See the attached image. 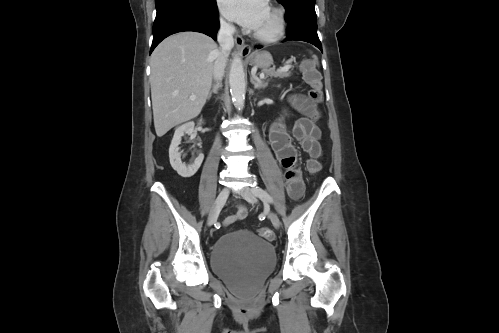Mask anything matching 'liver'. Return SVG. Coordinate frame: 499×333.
Masks as SVG:
<instances>
[{
  "instance_id": "liver-1",
  "label": "liver",
  "mask_w": 499,
  "mask_h": 333,
  "mask_svg": "<svg viewBox=\"0 0 499 333\" xmlns=\"http://www.w3.org/2000/svg\"><path fill=\"white\" fill-rule=\"evenodd\" d=\"M218 46L205 34L186 31L162 41L151 55V98L158 137L197 117L210 92ZM194 95L196 99L191 100Z\"/></svg>"
}]
</instances>
